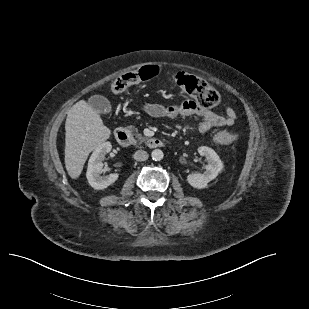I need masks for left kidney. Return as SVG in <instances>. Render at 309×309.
I'll return each mask as SVG.
<instances>
[{
    "label": "left kidney",
    "instance_id": "left-kidney-1",
    "mask_svg": "<svg viewBox=\"0 0 309 309\" xmlns=\"http://www.w3.org/2000/svg\"><path fill=\"white\" fill-rule=\"evenodd\" d=\"M198 153L201 156H205L208 164L206 165V171L201 173H192L187 176L188 183L197 189H203L207 187V184L215 179L223 169V163L217 153L210 147L201 146L198 148Z\"/></svg>",
    "mask_w": 309,
    "mask_h": 309
}]
</instances>
